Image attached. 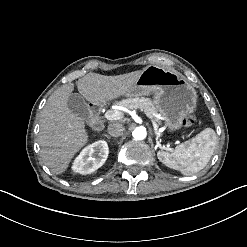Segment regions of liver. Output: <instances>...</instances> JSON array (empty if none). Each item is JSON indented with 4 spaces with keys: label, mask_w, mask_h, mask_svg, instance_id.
I'll list each match as a JSON object with an SVG mask.
<instances>
[{
    "label": "liver",
    "mask_w": 247,
    "mask_h": 247,
    "mask_svg": "<svg viewBox=\"0 0 247 247\" xmlns=\"http://www.w3.org/2000/svg\"><path fill=\"white\" fill-rule=\"evenodd\" d=\"M142 71L116 76L88 73L76 82L79 93L94 105L106 103L126 93L134 86ZM74 89L69 82L48 98L40 118L39 145L44 164L54 174L63 173L74 155L87 143L83 118L67 105Z\"/></svg>",
    "instance_id": "1"
}]
</instances>
